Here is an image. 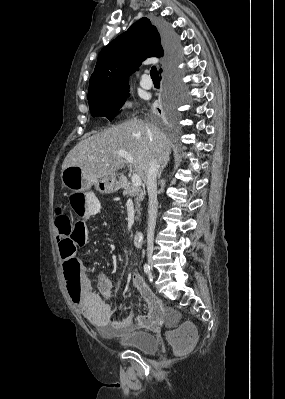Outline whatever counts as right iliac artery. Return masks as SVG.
Returning a JSON list of instances; mask_svg holds the SVG:
<instances>
[{
  "instance_id": "82829eb1",
  "label": "right iliac artery",
  "mask_w": 285,
  "mask_h": 399,
  "mask_svg": "<svg viewBox=\"0 0 285 399\" xmlns=\"http://www.w3.org/2000/svg\"><path fill=\"white\" fill-rule=\"evenodd\" d=\"M144 272H145L147 275H150V266H149L148 264H145V265H144Z\"/></svg>"
}]
</instances>
